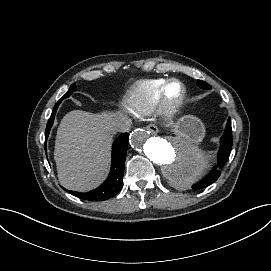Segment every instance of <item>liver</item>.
<instances>
[{
	"label": "liver",
	"instance_id": "liver-1",
	"mask_svg": "<svg viewBox=\"0 0 271 271\" xmlns=\"http://www.w3.org/2000/svg\"><path fill=\"white\" fill-rule=\"evenodd\" d=\"M117 122L118 119L107 114L77 110L64 116L57 132L54 153L63 186L79 190L101 180L107 166L111 133Z\"/></svg>",
	"mask_w": 271,
	"mask_h": 271
}]
</instances>
